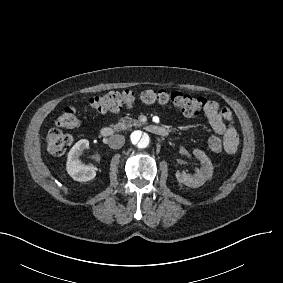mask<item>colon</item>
I'll return each mask as SVG.
<instances>
[{"label":"colon","mask_w":283,"mask_h":283,"mask_svg":"<svg viewBox=\"0 0 283 283\" xmlns=\"http://www.w3.org/2000/svg\"><path fill=\"white\" fill-rule=\"evenodd\" d=\"M137 98L144 104L172 105L188 117L198 115L207 102L204 96H192L181 92L144 90L137 96L131 90H113L91 99L89 104L97 113L118 112L122 107L134 105ZM56 123L58 128L49 131L43 143V150L50 154H62L71 146L72 137L63 129L80 126L81 119L77 108L71 105L65 106ZM209 149L212 152H221L224 149L220 136H212L209 139Z\"/></svg>","instance_id":"obj_1"}]
</instances>
